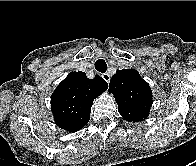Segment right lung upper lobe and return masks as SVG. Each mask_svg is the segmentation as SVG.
<instances>
[{"label": "right lung upper lobe", "mask_w": 196, "mask_h": 166, "mask_svg": "<svg viewBox=\"0 0 196 166\" xmlns=\"http://www.w3.org/2000/svg\"><path fill=\"white\" fill-rule=\"evenodd\" d=\"M107 88V82L98 75L88 79L85 72L69 73L51 96L55 123L69 132L83 128L89 122L94 99Z\"/></svg>", "instance_id": "cb5924a9"}]
</instances>
